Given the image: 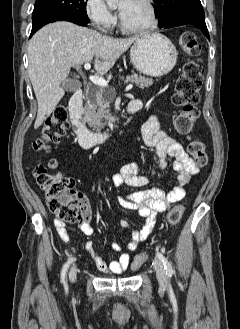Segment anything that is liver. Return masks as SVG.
<instances>
[{
  "instance_id": "1",
  "label": "liver",
  "mask_w": 240,
  "mask_h": 329,
  "mask_svg": "<svg viewBox=\"0 0 240 329\" xmlns=\"http://www.w3.org/2000/svg\"><path fill=\"white\" fill-rule=\"evenodd\" d=\"M138 39H114L70 22H56L41 28L28 45V73L38 102L34 128H39L64 96L62 83L70 68L89 63L107 73L116 60Z\"/></svg>"
}]
</instances>
